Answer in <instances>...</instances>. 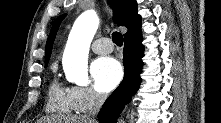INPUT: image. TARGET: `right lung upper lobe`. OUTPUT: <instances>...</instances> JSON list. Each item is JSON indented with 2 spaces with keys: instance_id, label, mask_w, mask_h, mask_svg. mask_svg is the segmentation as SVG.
<instances>
[{
  "instance_id": "cb5924a9",
  "label": "right lung upper lobe",
  "mask_w": 221,
  "mask_h": 123,
  "mask_svg": "<svg viewBox=\"0 0 221 123\" xmlns=\"http://www.w3.org/2000/svg\"><path fill=\"white\" fill-rule=\"evenodd\" d=\"M114 9V22L118 26H125L128 31L124 34V39L141 35V17L137 14L136 0H108ZM66 15L59 16L53 23L51 32L46 43L45 63L48 62L54 39L61 21Z\"/></svg>"
}]
</instances>
